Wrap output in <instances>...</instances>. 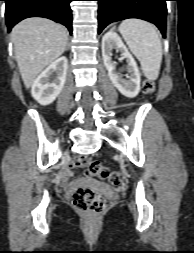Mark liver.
<instances>
[{"mask_svg":"<svg viewBox=\"0 0 194 253\" xmlns=\"http://www.w3.org/2000/svg\"><path fill=\"white\" fill-rule=\"evenodd\" d=\"M15 57L24 85L29 88L36 77L65 51V27L45 18H28L11 32Z\"/></svg>","mask_w":194,"mask_h":253,"instance_id":"1","label":"liver"}]
</instances>
